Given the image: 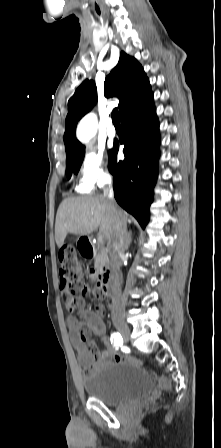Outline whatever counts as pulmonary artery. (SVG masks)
Here are the masks:
<instances>
[{"mask_svg": "<svg viewBox=\"0 0 221 448\" xmlns=\"http://www.w3.org/2000/svg\"><path fill=\"white\" fill-rule=\"evenodd\" d=\"M107 135L110 139H113L116 137L117 133H116V129L112 124V121L109 120L108 122V127H107Z\"/></svg>", "mask_w": 221, "mask_h": 448, "instance_id": "e3ab8cb5", "label": "pulmonary artery"}]
</instances>
